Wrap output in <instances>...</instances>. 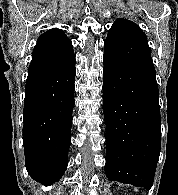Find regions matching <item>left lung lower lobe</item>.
<instances>
[{"label":"left lung lower lobe","instance_id":"1","mask_svg":"<svg viewBox=\"0 0 178 195\" xmlns=\"http://www.w3.org/2000/svg\"><path fill=\"white\" fill-rule=\"evenodd\" d=\"M108 179L150 189L160 154L156 74L103 56Z\"/></svg>","mask_w":178,"mask_h":195}]
</instances>
